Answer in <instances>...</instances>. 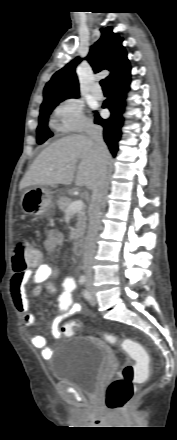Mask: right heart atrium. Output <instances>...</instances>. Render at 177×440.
I'll use <instances>...</instances> for the list:
<instances>
[{
	"instance_id": "obj_1",
	"label": "right heart atrium",
	"mask_w": 177,
	"mask_h": 440,
	"mask_svg": "<svg viewBox=\"0 0 177 440\" xmlns=\"http://www.w3.org/2000/svg\"><path fill=\"white\" fill-rule=\"evenodd\" d=\"M52 122L62 133H79L92 128V124L83 113L82 103L75 98H67L54 108Z\"/></svg>"
}]
</instances>
